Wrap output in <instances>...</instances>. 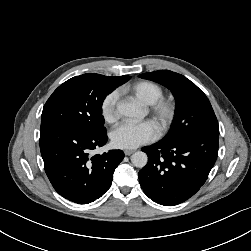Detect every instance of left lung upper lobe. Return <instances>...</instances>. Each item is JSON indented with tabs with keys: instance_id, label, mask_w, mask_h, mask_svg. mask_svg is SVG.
I'll use <instances>...</instances> for the list:
<instances>
[{
	"instance_id": "1",
	"label": "left lung upper lobe",
	"mask_w": 251,
	"mask_h": 251,
	"mask_svg": "<svg viewBox=\"0 0 251 251\" xmlns=\"http://www.w3.org/2000/svg\"><path fill=\"white\" fill-rule=\"evenodd\" d=\"M139 77L164 85L175 97V116L168 134L161 141L177 142L197 134L219 135L218 121L208 98L189 79L168 70L144 73Z\"/></svg>"
}]
</instances>
